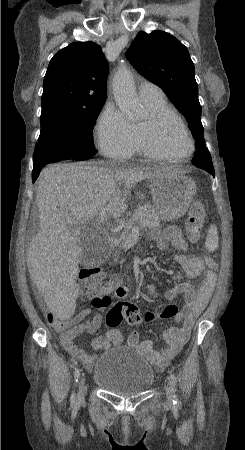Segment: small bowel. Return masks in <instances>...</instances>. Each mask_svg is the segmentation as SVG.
I'll list each match as a JSON object with an SVG mask.
<instances>
[{"mask_svg": "<svg viewBox=\"0 0 245 450\" xmlns=\"http://www.w3.org/2000/svg\"><path fill=\"white\" fill-rule=\"evenodd\" d=\"M151 237L161 250L169 246L175 248L177 251L175 260L183 267L189 277L196 278L201 276V280L197 285L185 282L166 292L165 296L167 299L174 300L182 296L185 304L182 311L175 317V320L181 322L182 326L165 330L163 334L165 347L162 350H155L150 340H141L137 332H131L127 336L126 345L138 349L158 371H162L188 341L195 320L204 311L211 297L216 283V274L211 269L206 268L207 264L204 257L198 254L190 256L184 254L186 242L177 227H169L163 231H154ZM173 277L178 278L179 274L174 273ZM109 283L113 285V290L109 293L111 301H120L129 296V288L122 286L119 278L115 277ZM148 289L151 290L152 287L149 286ZM82 291L92 300L98 296L96 291L84 290L83 288ZM88 316H91V319L86 320ZM72 321L80 324L81 331L94 333L101 327L103 315L100 311L86 309L78 313ZM61 343L74 358L82 361L86 367H91L95 359L94 355L87 354L80 349L72 338L62 336ZM112 343L114 342L109 339L107 332L105 335L95 338L91 344L96 352H104L110 348Z\"/></svg>", "mask_w": 245, "mask_h": 450, "instance_id": "1", "label": "small bowel"}]
</instances>
